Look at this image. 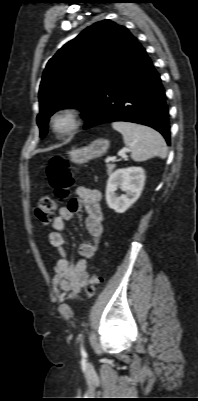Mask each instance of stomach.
Returning a JSON list of instances; mask_svg holds the SVG:
<instances>
[{
    "mask_svg": "<svg viewBox=\"0 0 198 401\" xmlns=\"http://www.w3.org/2000/svg\"><path fill=\"white\" fill-rule=\"evenodd\" d=\"M110 146V141L105 138H99L94 140L86 147L73 148L67 154L69 155L72 162L77 164H83L91 159L101 157L107 152Z\"/></svg>",
    "mask_w": 198,
    "mask_h": 401,
    "instance_id": "1",
    "label": "stomach"
}]
</instances>
